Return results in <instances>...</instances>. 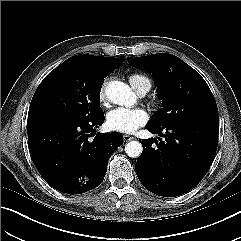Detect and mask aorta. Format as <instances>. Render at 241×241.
I'll list each match as a JSON object with an SVG mask.
<instances>
[{
    "label": "aorta",
    "mask_w": 241,
    "mask_h": 241,
    "mask_svg": "<svg viewBox=\"0 0 241 241\" xmlns=\"http://www.w3.org/2000/svg\"><path fill=\"white\" fill-rule=\"evenodd\" d=\"M107 98L114 104L131 106L135 102V94L130 87L121 81H112L105 90ZM143 147L139 141H130L125 145V152L131 158L141 155Z\"/></svg>",
    "instance_id": "obj_1"
}]
</instances>
